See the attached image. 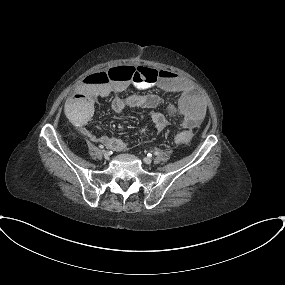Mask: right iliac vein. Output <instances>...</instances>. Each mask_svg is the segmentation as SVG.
Segmentation results:
<instances>
[{
	"instance_id": "obj_1",
	"label": "right iliac vein",
	"mask_w": 285,
	"mask_h": 285,
	"mask_svg": "<svg viewBox=\"0 0 285 285\" xmlns=\"http://www.w3.org/2000/svg\"><path fill=\"white\" fill-rule=\"evenodd\" d=\"M101 153L104 155V157H108L109 153L106 150H102Z\"/></svg>"
}]
</instances>
